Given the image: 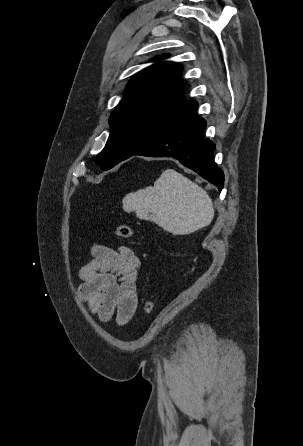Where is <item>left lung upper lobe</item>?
I'll return each instance as SVG.
<instances>
[{
  "instance_id": "1",
  "label": "left lung upper lobe",
  "mask_w": 303,
  "mask_h": 446,
  "mask_svg": "<svg viewBox=\"0 0 303 446\" xmlns=\"http://www.w3.org/2000/svg\"><path fill=\"white\" fill-rule=\"evenodd\" d=\"M182 66L156 63L139 72L110 116L111 133L94 158L104 170L175 130L196 107L182 97Z\"/></svg>"
}]
</instances>
